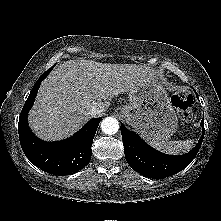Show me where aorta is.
Instances as JSON below:
<instances>
[{"label": "aorta", "mask_w": 221, "mask_h": 221, "mask_svg": "<svg viewBox=\"0 0 221 221\" xmlns=\"http://www.w3.org/2000/svg\"><path fill=\"white\" fill-rule=\"evenodd\" d=\"M102 132L108 135H113L119 130V122L114 117H106L101 122Z\"/></svg>", "instance_id": "obj_1"}]
</instances>
